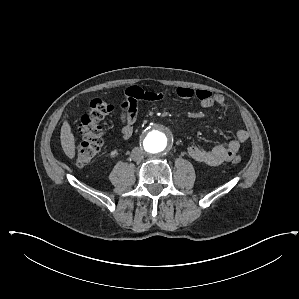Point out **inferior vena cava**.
<instances>
[{
	"mask_svg": "<svg viewBox=\"0 0 299 299\" xmlns=\"http://www.w3.org/2000/svg\"><path fill=\"white\" fill-rule=\"evenodd\" d=\"M131 156L134 161L139 162L144 158V150L141 147H135L132 150Z\"/></svg>",
	"mask_w": 299,
	"mask_h": 299,
	"instance_id": "obj_1",
	"label": "inferior vena cava"
}]
</instances>
